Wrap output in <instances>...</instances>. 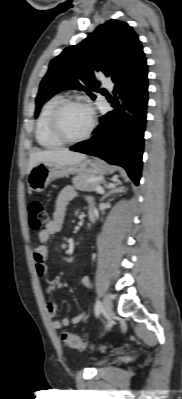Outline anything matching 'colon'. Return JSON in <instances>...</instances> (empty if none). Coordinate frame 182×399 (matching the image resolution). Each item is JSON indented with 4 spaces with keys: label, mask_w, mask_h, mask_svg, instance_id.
Masks as SVG:
<instances>
[{
    "label": "colon",
    "mask_w": 182,
    "mask_h": 399,
    "mask_svg": "<svg viewBox=\"0 0 182 399\" xmlns=\"http://www.w3.org/2000/svg\"><path fill=\"white\" fill-rule=\"evenodd\" d=\"M27 212L29 218V226L33 231L40 232L46 228L49 220V214L43 203L36 200L30 202L27 208ZM61 339L66 346L72 349H77V350L94 349L91 346V344H89L86 340L66 331L61 333ZM100 349L104 350L105 347L102 346Z\"/></svg>",
    "instance_id": "obj_1"
}]
</instances>
